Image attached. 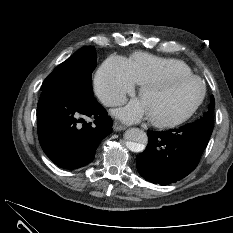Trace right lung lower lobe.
I'll return each mask as SVG.
<instances>
[{
    "mask_svg": "<svg viewBox=\"0 0 233 233\" xmlns=\"http://www.w3.org/2000/svg\"><path fill=\"white\" fill-rule=\"evenodd\" d=\"M85 117L93 118L94 122H84ZM37 119L42 149L56 165L65 169H77L90 163L113 125L93 97L56 90H42Z\"/></svg>",
    "mask_w": 233,
    "mask_h": 233,
    "instance_id": "1",
    "label": "right lung lower lobe"
}]
</instances>
